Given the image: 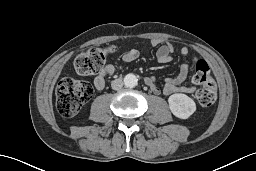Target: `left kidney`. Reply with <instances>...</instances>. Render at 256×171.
<instances>
[{"instance_id":"5707ae66","label":"left kidney","mask_w":256,"mask_h":171,"mask_svg":"<svg viewBox=\"0 0 256 171\" xmlns=\"http://www.w3.org/2000/svg\"><path fill=\"white\" fill-rule=\"evenodd\" d=\"M168 103L173 115L180 119H188L196 111L195 102L182 93L171 95Z\"/></svg>"}]
</instances>
